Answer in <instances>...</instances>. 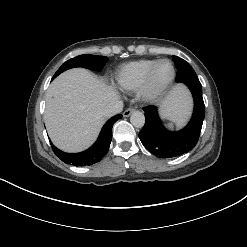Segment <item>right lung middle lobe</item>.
I'll return each instance as SVG.
<instances>
[{"mask_svg":"<svg viewBox=\"0 0 247 247\" xmlns=\"http://www.w3.org/2000/svg\"><path fill=\"white\" fill-rule=\"evenodd\" d=\"M107 61L108 58L105 56L80 55L66 61L54 74L53 78L57 77L60 73L64 72L65 70L74 67H84L96 71H101Z\"/></svg>","mask_w":247,"mask_h":247,"instance_id":"right-lung-middle-lobe-1","label":"right lung middle lobe"}]
</instances>
